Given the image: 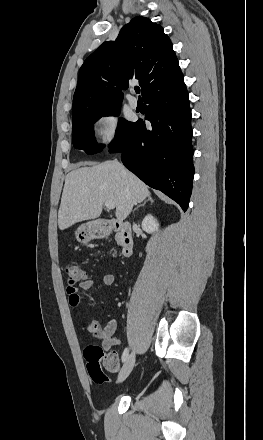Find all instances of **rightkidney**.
<instances>
[{
	"instance_id": "right-kidney-1",
	"label": "right kidney",
	"mask_w": 263,
	"mask_h": 440,
	"mask_svg": "<svg viewBox=\"0 0 263 440\" xmlns=\"http://www.w3.org/2000/svg\"><path fill=\"white\" fill-rule=\"evenodd\" d=\"M159 228V223L157 220L151 215L148 214L142 221V229L147 233L157 232Z\"/></svg>"
}]
</instances>
